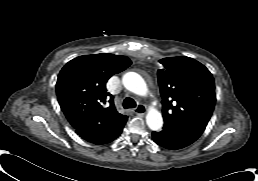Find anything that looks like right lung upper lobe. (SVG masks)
Instances as JSON below:
<instances>
[{
    "label": "right lung upper lobe",
    "mask_w": 258,
    "mask_h": 181,
    "mask_svg": "<svg viewBox=\"0 0 258 181\" xmlns=\"http://www.w3.org/2000/svg\"><path fill=\"white\" fill-rule=\"evenodd\" d=\"M130 64L125 56L101 53L77 57L62 68L56 84L57 98L76 131L127 117L117 112L106 82Z\"/></svg>",
    "instance_id": "cb5924a9"
}]
</instances>
